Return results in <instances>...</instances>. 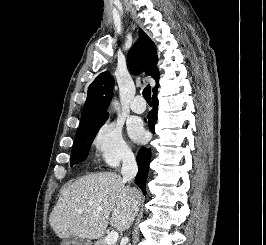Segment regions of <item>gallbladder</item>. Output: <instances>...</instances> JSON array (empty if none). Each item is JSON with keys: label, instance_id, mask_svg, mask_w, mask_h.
Masks as SVG:
<instances>
[{"label": "gallbladder", "instance_id": "gallbladder-1", "mask_svg": "<svg viewBox=\"0 0 266 245\" xmlns=\"http://www.w3.org/2000/svg\"><path fill=\"white\" fill-rule=\"evenodd\" d=\"M77 241V237H73V239H70V245H75Z\"/></svg>", "mask_w": 266, "mask_h": 245}]
</instances>
